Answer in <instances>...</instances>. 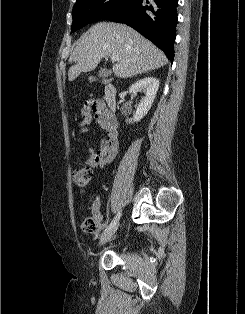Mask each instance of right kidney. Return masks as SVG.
Segmentation results:
<instances>
[{"label": "right kidney", "mask_w": 245, "mask_h": 314, "mask_svg": "<svg viewBox=\"0 0 245 314\" xmlns=\"http://www.w3.org/2000/svg\"><path fill=\"white\" fill-rule=\"evenodd\" d=\"M159 88V81L153 77L143 78L134 83L129 91L133 94L143 91L145 96L141 99L137 106V110L133 118L126 120L129 123L139 122L150 110Z\"/></svg>", "instance_id": "1"}]
</instances>
